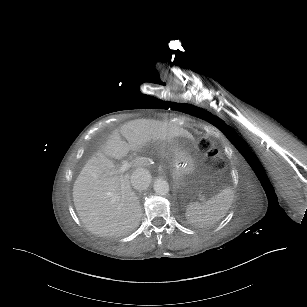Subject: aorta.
I'll return each instance as SVG.
<instances>
[{"mask_svg":"<svg viewBox=\"0 0 307 307\" xmlns=\"http://www.w3.org/2000/svg\"><path fill=\"white\" fill-rule=\"evenodd\" d=\"M153 189L158 195H166L169 192V183L163 179H157L154 182Z\"/></svg>","mask_w":307,"mask_h":307,"instance_id":"1","label":"aorta"}]
</instances>
